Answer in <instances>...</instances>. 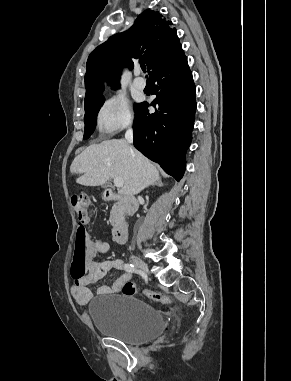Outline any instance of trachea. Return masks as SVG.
Segmentation results:
<instances>
[{"instance_id":"trachea-1","label":"trachea","mask_w":291,"mask_h":381,"mask_svg":"<svg viewBox=\"0 0 291 381\" xmlns=\"http://www.w3.org/2000/svg\"><path fill=\"white\" fill-rule=\"evenodd\" d=\"M141 69H142L143 72H146V66L144 64L141 65Z\"/></svg>"}]
</instances>
